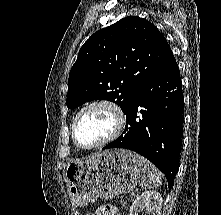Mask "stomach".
Instances as JSON below:
<instances>
[{
    "label": "stomach",
    "instance_id": "stomach-1",
    "mask_svg": "<svg viewBox=\"0 0 221 215\" xmlns=\"http://www.w3.org/2000/svg\"><path fill=\"white\" fill-rule=\"evenodd\" d=\"M141 174L138 154L111 149L84 161L69 163L65 168V182L72 204L83 207L98 198L110 200L133 191Z\"/></svg>",
    "mask_w": 221,
    "mask_h": 215
}]
</instances>
